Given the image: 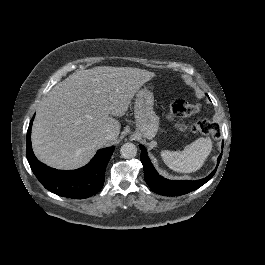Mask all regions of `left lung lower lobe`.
<instances>
[{"label": "left lung lower lobe", "instance_id": "0a47b994", "mask_svg": "<svg viewBox=\"0 0 265 265\" xmlns=\"http://www.w3.org/2000/svg\"><path fill=\"white\" fill-rule=\"evenodd\" d=\"M141 149V162L144 168V177L146 183L149 185L150 189L157 194L164 196H179L190 191L196 190L205 184L208 180L212 178L215 174L216 169L208 175L206 178L197 181H173L168 180L160 176L154 167L152 166L146 149L140 145ZM222 154L218 157V164L220 162Z\"/></svg>", "mask_w": 265, "mask_h": 265}]
</instances>
